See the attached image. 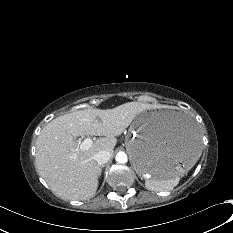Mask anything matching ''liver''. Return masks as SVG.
Returning <instances> with one entry per match:
<instances>
[{"label": "liver", "mask_w": 233, "mask_h": 233, "mask_svg": "<svg viewBox=\"0 0 233 233\" xmlns=\"http://www.w3.org/2000/svg\"><path fill=\"white\" fill-rule=\"evenodd\" d=\"M155 105L128 102L113 109H84L49 122L36 142V170L51 191L65 200H86L95 195L101 169L93 156L101 150L113 153L119 136L133 119ZM104 136L86 150L76 137Z\"/></svg>", "instance_id": "obj_1"}]
</instances>
